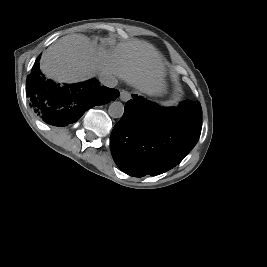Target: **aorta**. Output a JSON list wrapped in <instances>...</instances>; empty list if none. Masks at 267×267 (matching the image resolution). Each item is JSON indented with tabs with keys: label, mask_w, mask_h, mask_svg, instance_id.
Here are the masks:
<instances>
[{
	"label": "aorta",
	"mask_w": 267,
	"mask_h": 267,
	"mask_svg": "<svg viewBox=\"0 0 267 267\" xmlns=\"http://www.w3.org/2000/svg\"><path fill=\"white\" fill-rule=\"evenodd\" d=\"M108 114L112 118H121L124 114V105L119 101H114L109 105Z\"/></svg>",
	"instance_id": "aorta-1"
}]
</instances>
